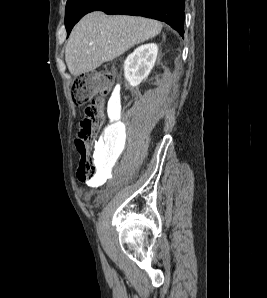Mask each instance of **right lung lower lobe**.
Segmentation results:
<instances>
[{
	"label": "right lung lower lobe",
	"instance_id": "98d812e1",
	"mask_svg": "<svg viewBox=\"0 0 267 298\" xmlns=\"http://www.w3.org/2000/svg\"><path fill=\"white\" fill-rule=\"evenodd\" d=\"M184 0H98L90 12L136 15L163 21L183 35Z\"/></svg>",
	"mask_w": 267,
	"mask_h": 298
}]
</instances>
